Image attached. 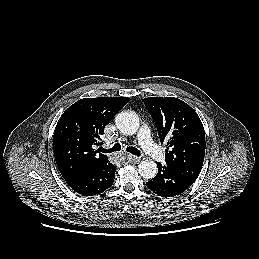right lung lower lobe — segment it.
<instances>
[{"mask_svg":"<svg viewBox=\"0 0 259 259\" xmlns=\"http://www.w3.org/2000/svg\"><path fill=\"white\" fill-rule=\"evenodd\" d=\"M115 171L116 166L108 162L67 179L66 183L81 195L93 196L102 193L113 184Z\"/></svg>","mask_w":259,"mask_h":259,"instance_id":"right-lung-lower-lobe-1","label":"right lung lower lobe"}]
</instances>
